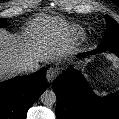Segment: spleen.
<instances>
[{"label":"spleen","mask_w":119,"mask_h":119,"mask_svg":"<svg viewBox=\"0 0 119 119\" xmlns=\"http://www.w3.org/2000/svg\"><path fill=\"white\" fill-rule=\"evenodd\" d=\"M96 93H98V92L96 91ZM107 94H108L107 92L100 93V95H102V96H106Z\"/></svg>","instance_id":"obj_1"}]
</instances>
